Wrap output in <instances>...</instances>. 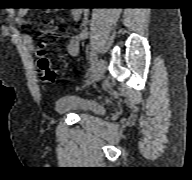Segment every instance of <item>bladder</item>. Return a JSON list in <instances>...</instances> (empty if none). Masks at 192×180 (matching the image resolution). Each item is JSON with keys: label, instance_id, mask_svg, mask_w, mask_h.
I'll list each match as a JSON object with an SVG mask.
<instances>
[{"label": "bladder", "instance_id": "bladder-1", "mask_svg": "<svg viewBox=\"0 0 192 180\" xmlns=\"http://www.w3.org/2000/svg\"><path fill=\"white\" fill-rule=\"evenodd\" d=\"M55 110L60 113L83 114L88 112H99L102 105L96 101L80 98L76 95H64L59 97L54 104Z\"/></svg>", "mask_w": 192, "mask_h": 180}]
</instances>
